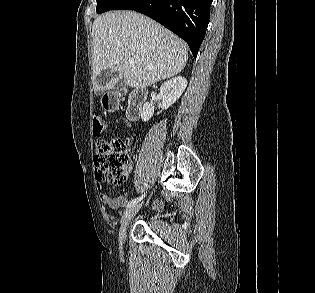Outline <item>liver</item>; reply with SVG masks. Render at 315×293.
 <instances>
[{
	"mask_svg": "<svg viewBox=\"0 0 315 293\" xmlns=\"http://www.w3.org/2000/svg\"><path fill=\"white\" fill-rule=\"evenodd\" d=\"M93 88L103 92L115 83L101 85L103 70L119 71L125 84L149 87L180 73L188 59L187 48L174 33L134 11H115L98 16L92 26ZM133 58L134 66L129 59Z\"/></svg>",
	"mask_w": 315,
	"mask_h": 293,
	"instance_id": "6515ba94",
	"label": "liver"
}]
</instances>
